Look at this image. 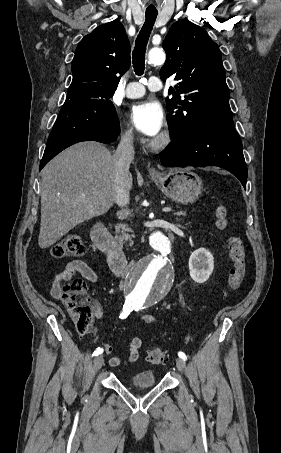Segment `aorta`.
Masks as SVG:
<instances>
[{"label": "aorta", "mask_w": 281, "mask_h": 453, "mask_svg": "<svg viewBox=\"0 0 281 453\" xmlns=\"http://www.w3.org/2000/svg\"><path fill=\"white\" fill-rule=\"evenodd\" d=\"M165 59L164 51L159 48H153L148 54V63L152 65H161ZM150 244L156 254L135 265L126 279L127 301L133 306L156 304L173 284L174 270L167 257L172 247L170 239L155 232L150 236Z\"/></svg>", "instance_id": "obj_1"}]
</instances>
